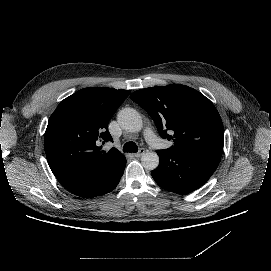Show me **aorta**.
<instances>
[{"label": "aorta", "instance_id": "aorta-1", "mask_svg": "<svg viewBox=\"0 0 271 271\" xmlns=\"http://www.w3.org/2000/svg\"><path fill=\"white\" fill-rule=\"evenodd\" d=\"M117 119L121 127L130 133H136L143 129L142 117L140 113L133 108L122 109L118 113ZM140 160L144 169L149 171L156 169L159 165V156L155 151L145 152Z\"/></svg>", "mask_w": 271, "mask_h": 271}]
</instances>
